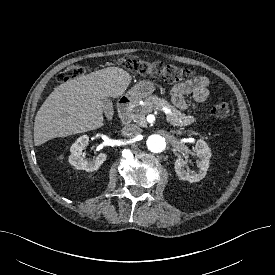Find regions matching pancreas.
<instances>
[{
	"instance_id": "cf45deb5",
	"label": "pancreas",
	"mask_w": 275,
	"mask_h": 275,
	"mask_svg": "<svg viewBox=\"0 0 275 275\" xmlns=\"http://www.w3.org/2000/svg\"><path fill=\"white\" fill-rule=\"evenodd\" d=\"M163 108L169 109L171 112L166 114V120L173 126H187L195 122L193 116H186L175 107L170 105L165 99L157 96H149L145 99L143 105L133 109V119L138 123L145 125V116L152 111H161Z\"/></svg>"
}]
</instances>
